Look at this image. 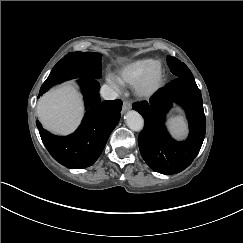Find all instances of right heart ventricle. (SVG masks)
Listing matches in <instances>:
<instances>
[{
    "label": "right heart ventricle",
    "mask_w": 243,
    "mask_h": 243,
    "mask_svg": "<svg viewBox=\"0 0 243 243\" xmlns=\"http://www.w3.org/2000/svg\"><path fill=\"white\" fill-rule=\"evenodd\" d=\"M160 63L157 58H136L122 63L116 75L124 87L135 88L147 71Z\"/></svg>",
    "instance_id": "right-heart-ventricle-1"
}]
</instances>
